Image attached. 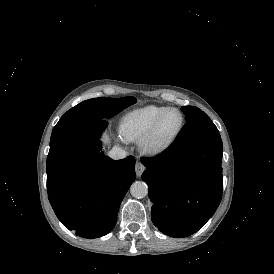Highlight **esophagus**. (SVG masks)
I'll return each mask as SVG.
<instances>
[{"instance_id":"esophagus-1","label":"esophagus","mask_w":274,"mask_h":274,"mask_svg":"<svg viewBox=\"0 0 274 274\" xmlns=\"http://www.w3.org/2000/svg\"><path fill=\"white\" fill-rule=\"evenodd\" d=\"M144 170H145V166L140 162H136L135 171H136L137 176H141V174L144 172Z\"/></svg>"}]
</instances>
